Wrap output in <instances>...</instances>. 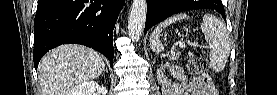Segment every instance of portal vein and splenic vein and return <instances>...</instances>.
<instances>
[{
    "label": "portal vein and splenic vein",
    "mask_w": 277,
    "mask_h": 95,
    "mask_svg": "<svg viewBox=\"0 0 277 95\" xmlns=\"http://www.w3.org/2000/svg\"><path fill=\"white\" fill-rule=\"evenodd\" d=\"M178 45L180 48H185V43L184 42H178Z\"/></svg>",
    "instance_id": "18ae733b"
}]
</instances>
